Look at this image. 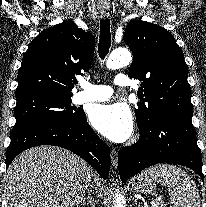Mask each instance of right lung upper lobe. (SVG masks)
<instances>
[{"label":"right lung upper lobe","mask_w":206,"mask_h":207,"mask_svg":"<svg viewBox=\"0 0 206 207\" xmlns=\"http://www.w3.org/2000/svg\"><path fill=\"white\" fill-rule=\"evenodd\" d=\"M94 45L93 36L71 21L44 30L23 56L16 100L36 94L72 95L75 75L91 66Z\"/></svg>","instance_id":"obj_1"}]
</instances>
